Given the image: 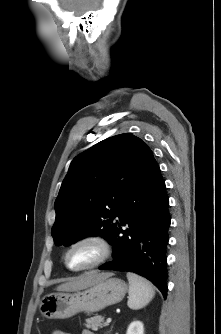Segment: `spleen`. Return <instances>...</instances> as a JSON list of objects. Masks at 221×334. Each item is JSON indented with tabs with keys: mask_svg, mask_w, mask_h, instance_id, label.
<instances>
[{
	"mask_svg": "<svg viewBox=\"0 0 221 334\" xmlns=\"http://www.w3.org/2000/svg\"><path fill=\"white\" fill-rule=\"evenodd\" d=\"M127 279L129 281L128 307L133 310L145 307L155 295L153 286L135 273H127Z\"/></svg>",
	"mask_w": 221,
	"mask_h": 334,
	"instance_id": "3e777b00",
	"label": "spleen"
}]
</instances>
